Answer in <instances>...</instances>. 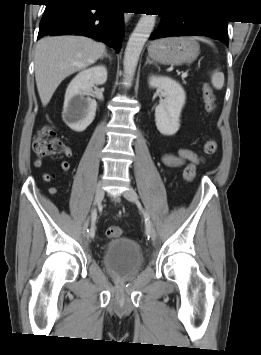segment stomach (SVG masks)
I'll list each match as a JSON object with an SVG mask.
<instances>
[{"label":"stomach","mask_w":261,"mask_h":355,"mask_svg":"<svg viewBox=\"0 0 261 355\" xmlns=\"http://www.w3.org/2000/svg\"><path fill=\"white\" fill-rule=\"evenodd\" d=\"M199 49V44L191 38L170 37L153 41L148 47V54L160 64L180 65L196 59Z\"/></svg>","instance_id":"obj_1"}]
</instances>
